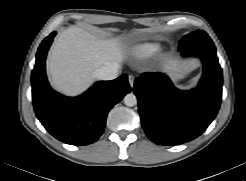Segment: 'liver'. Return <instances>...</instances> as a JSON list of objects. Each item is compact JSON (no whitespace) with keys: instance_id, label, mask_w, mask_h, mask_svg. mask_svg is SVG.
Here are the masks:
<instances>
[{"instance_id":"6515ba94","label":"liver","mask_w":246,"mask_h":181,"mask_svg":"<svg viewBox=\"0 0 246 181\" xmlns=\"http://www.w3.org/2000/svg\"><path fill=\"white\" fill-rule=\"evenodd\" d=\"M124 57L117 39L99 40L84 30L70 27L55 40L48 59V73L56 90L77 95L86 90L94 72Z\"/></svg>"}]
</instances>
